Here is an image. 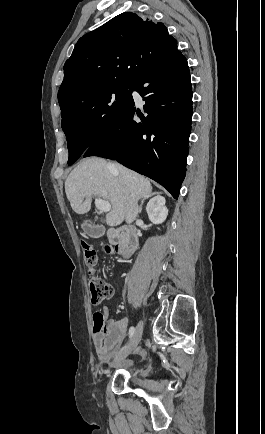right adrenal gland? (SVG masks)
<instances>
[{
	"mask_svg": "<svg viewBox=\"0 0 265 434\" xmlns=\"http://www.w3.org/2000/svg\"><path fill=\"white\" fill-rule=\"evenodd\" d=\"M155 194H158V192H154V194H148V196H143V198L141 200V204L139 206V214H141V212H142V208H143V204H144L145 200H148V198H150V196H155Z\"/></svg>",
	"mask_w": 265,
	"mask_h": 434,
	"instance_id": "right-adrenal-gland-1",
	"label": "right adrenal gland"
}]
</instances>
